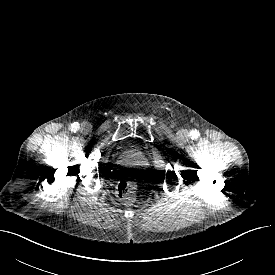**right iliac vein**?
Segmentation results:
<instances>
[{"mask_svg": "<svg viewBox=\"0 0 275 275\" xmlns=\"http://www.w3.org/2000/svg\"><path fill=\"white\" fill-rule=\"evenodd\" d=\"M90 126L88 124H84L82 127H81V130L82 131H87L89 130Z\"/></svg>", "mask_w": 275, "mask_h": 275, "instance_id": "obj_1", "label": "right iliac vein"}]
</instances>
